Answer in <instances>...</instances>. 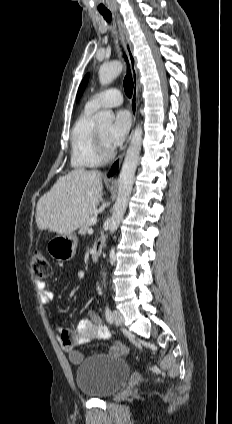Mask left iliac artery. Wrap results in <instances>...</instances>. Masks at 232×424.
Segmentation results:
<instances>
[{
    "mask_svg": "<svg viewBox=\"0 0 232 424\" xmlns=\"http://www.w3.org/2000/svg\"><path fill=\"white\" fill-rule=\"evenodd\" d=\"M105 317H106V320L110 324L113 322L112 313H111V310H110V308L108 306H106V308H105Z\"/></svg>",
    "mask_w": 232,
    "mask_h": 424,
    "instance_id": "left-iliac-artery-1",
    "label": "left iliac artery"
}]
</instances>
